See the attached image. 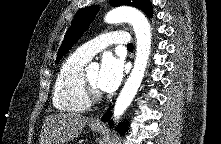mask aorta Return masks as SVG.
<instances>
[{
  "instance_id": "obj_1",
  "label": "aorta",
  "mask_w": 221,
  "mask_h": 144,
  "mask_svg": "<svg viewBox=\"0 0 221 144\" xmlns=\"http://www.w3.org/2000/svg\"><path fill=\"white\" fill-rule=\"evenodd\" d=\"M105 22L110 24L129 22L134 28L137 42L134 67L114 107V119L118 120L132 102L144 77L151 49V29L144 14L131 7H117L111 10L105 16ZM96 67H98L96 63L89 65V68Z\"/></svg>"
}]
</instances>
